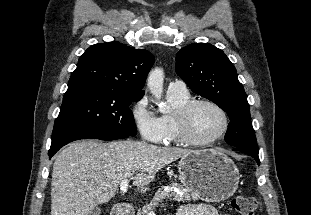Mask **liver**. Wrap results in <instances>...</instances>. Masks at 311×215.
I'll return each mask as SVG.
<instances>
[{"mask_svg": "<svg viewBox=\"0 0 311 215\" xmlns=\"http://www.w3.org/2000/svg\"><path fill=\"white\" fill-rule=\"evenodd\" d=\"M191 152L131 140L73 142L53 164L51 215H89L115 196L122 180L143 190L164 166Z\"/></svg>", "mask_w": 311, "mask_h": 215, "instance_id": "6515ba94", "label": "liver"}]
</instances>
